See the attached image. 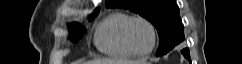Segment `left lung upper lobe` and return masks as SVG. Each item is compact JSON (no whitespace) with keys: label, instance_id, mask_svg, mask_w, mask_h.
Returning <instances> with one entry per match:
<instances>
[{"label":"left lung upper lobe","instance_id":"1","mask_svg":"<svg viewBox=\"0 0 242 64\" xmlns=\"http://www.w3.org/2000/svg\"><path fill=\"white\" fill-rule=\"evenodd\" d=\"M105 4L138 13L157 28L160 45L156 56L168 53L184 40V26L175 0H105Z\"/></svg>","mask_w":242,"mask_h":64}]
</instances>
